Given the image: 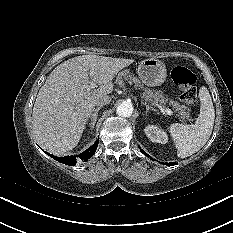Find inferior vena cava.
<instances>
[{
    "label": "inferior vena cava",
    "instance_id": "inferior-vena-cava-1",
    "mask_svg": "<svg viewBox=\"0 0 233 233\" xmlns=\"http://www.w3.org/2000/svg\"><path fill=\"white\" fill-rule=\"evenodd\" d=\"M111 101V98L109 96H104L102 97L101 99H99L97 102H96V105L99 107V106H103V105H108Z\"/></svg>",
    "mask_w": 233,
    "mask_h": 233
}]
</instances>
